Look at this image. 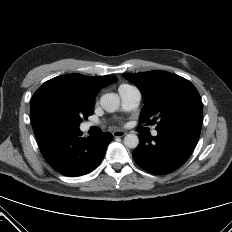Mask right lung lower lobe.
Segmentation results:
<instances>
[{
  "instance_id": "1",
  "label": "right lung lower lobe",
  "mask_w": 232,
  "mask_h": 232,
  "mask_svg": "<svg viewBox=\"0 0 232 232\" xmlns=\"http://www.w3.org/2000/svg\"><path fill=\"white\" fill-rule=\"evenodd\" d=\"M77 131H49L36 134L45 160L66 176H81L93 171L102 161L113 137L108 132L87 139Z\"/></svg>"
}]
</instances>
